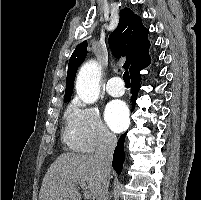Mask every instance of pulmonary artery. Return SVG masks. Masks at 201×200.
<instances>
[{"label": "pulmonary artery", "mask_w": 201, "mask_h": 200, "mask_svg": "<svg viewBox=\"0 0 201 200\" xmlns=\"http://www.w3.org/2000/svg\"><path fill=\"white\" fill-rule=\"evenodd\" d=\"M106 90L108 94L113 97L122 96L125 91L123 80L119 76L111 77L107 84Z\"/></svg>", "instance_id": "1"}]
</instances>
